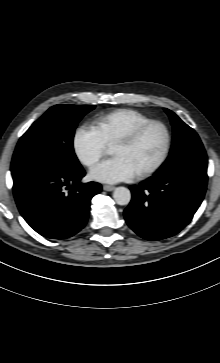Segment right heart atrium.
I'll use <instances>...</instances> for the list:
<instances>
[{
	"label": "right heart atrium",
	"mask_w": 220,
	"mask_h": 363,
	"mask_svg": "<svg viewBox=\"0 0 220 363\" xmlns=\"http://www.w3.org/2000/svg\"><path fill=\"white\" fill-rule=\"evenodd\" d=\"M76 158L86 167L95 165L106 151V143L100 133L88 124L79 125L72 137Z\"/></svg>",
	"instance_id": "d8ad5b80"
}]
</instances>
